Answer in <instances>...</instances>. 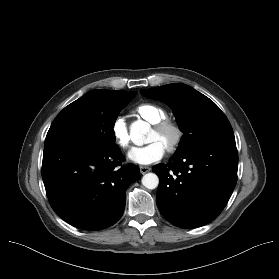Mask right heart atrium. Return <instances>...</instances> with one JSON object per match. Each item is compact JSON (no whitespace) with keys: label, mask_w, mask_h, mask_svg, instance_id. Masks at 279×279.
Wrapping results in <instances>:
<instances>
[{"label":"right heart atrium","mask_w":279,"mask_h":279,"mask_svg":"<svg viewBox=\"0 0 279 279\" xmlns=\"http://www.w3.org/2000/svg\"><path fill=\"white\" fill-rule=\"evenodd\" d=\"M111 133L115 143L121 149H127L130 146V135L125 121L117 118L111 125Z\"/></svg>","instance_id":"1"}]
</instances>
